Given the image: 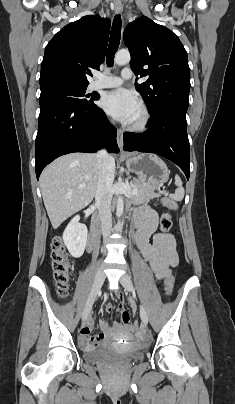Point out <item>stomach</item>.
I'll list each match as a JSON object with an SVG mask.
<instances>
[{"label":"stomach","instance_id":"obj_1","mask_svg":"<svg viewBox=\"0 0 235 404\" xmlns=\"http://www.w3.org/2000/svg\"><path fill=\"white\" fill-rule=\"evenodd\" d=\"M126 166L139 179L144 180L154 190L169 179V170L164 161L152 153L130 154L126 157Z\"/></svg>","mask_w":235,"mask_h":404}]
</instances>
